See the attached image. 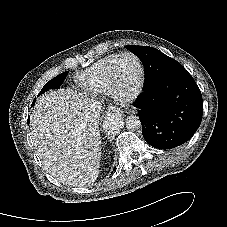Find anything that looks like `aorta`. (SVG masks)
Segmentation results:
<instances>
[{
    "label": "aorta",
    "instance_id": "obj_1",
    "mask_svg": "<svg viewBox=\"0 0 227 227\" xmlns=\"http://www.w3.org/2000/svg\"><path fill=\"white\" fill-rule=\"evenodd\" d=\"M122 125V117L118 113H110L105 120V127L109 132H118ZM125 126L128 130L136 131L141 128V121L138 116L131 115L126 118Z\"/></svg>",
    "mask_w": 227,
    "mask_h": 227
}]
</instances>
